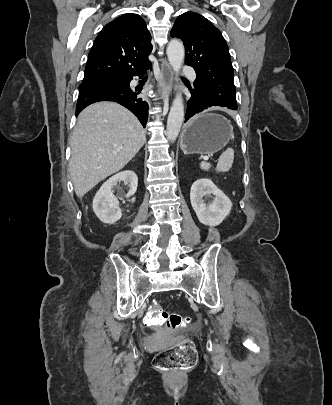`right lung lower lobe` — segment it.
I'll return each mask as SVG.
<instances>
[{
    "mask_svg": "<svg viewBox=\"0 0 332 405\" xmlns=\"http://www.w3.org/2000/svg\"><path fill=\"white\" fill-rule=\"evenodd\" d=\"M151 63L144 68L117 77H102L84 81L79 86L76 116L88 105L98 101H115L133 112L145 127L148 117V104L138 97L141 88H131L133 76L142 77Z\"/></svg>",
    "mask_w": 332,
    "mask_h": 405,
    "instance_id": "right-lung-lower-lobe-1",
    "label": "right lung lower lobe"
}]
</instances>
